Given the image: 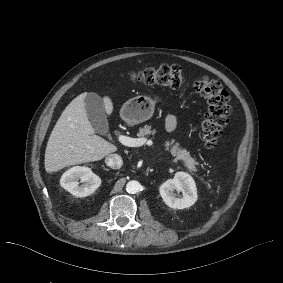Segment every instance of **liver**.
Wrapping results in <instances>:
<instances>
[{
	"mask_svg": "<svg viewBox=\"0 0 283 283\" xmlns=\"http://www.w3.org/2000/svg\"><path fill=\"white\" fill-rule=\"evenodd\" d=\"M82 93L73 99L54 126L45 151V170L56 172L71 165L98 161L117 150V147L95 135L85 109ZM108 115L113 111L109 97H104Z\"/></svg>",
	"mask_w": 283,
	"mask_h": 283,
	"instance_id": "6515ba94",
	"label": "liver"
}]
</instances>
